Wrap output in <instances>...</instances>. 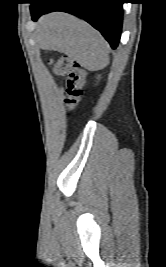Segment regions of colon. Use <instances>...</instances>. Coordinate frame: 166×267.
<instances>
[{
	"mask_svg": "<svg viewBox=\"0 0 166 267\" xmlns=\"http://www.w3.org/2000/svg\"><path fill=\"white\" fill-rule=\"evenodd\" d=\"M54 71L66 81L64 104L67 111L75 110L83 95L86 71L67 56L54 61Z\"/></svg>",
	"mask_w": 166,
	"mask_h": 267,
	"instance_id": "colon-1",
	"label": "colon"
}]
</instances>
